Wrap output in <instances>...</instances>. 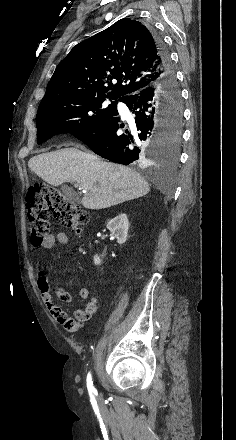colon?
I'll return each mask as SVG.
<instances>
[{
	"label": "colon",
	"mask_w": 236,
	"mask_h": 440,
	"mask_svg": "<svg viewBox=\"0 0 236 440\" xmlns=\"http://www.w3.org/2000/svg\"><path fill=\"white\" fill-rule=\"evenodd\" d=\"M28 219L31 226V242L40 246L50 232V215L60 224L74 230L89 221V213L64 195L60 190L47 184L29 188L26 196ZM74 321L71 318L61 320Z\"/></svg>",
	"instance_id": "1"
}]
</instances>
